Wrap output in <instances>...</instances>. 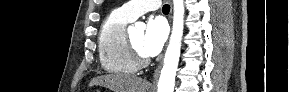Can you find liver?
Returning a JSON list of instances; mask_svg holds the SVG:
<instances>
[{
  "label": "liver",
  "instance_id": "liver-1",
  "mask_svg": "<svg viewBox=\"0 0 289 92\" xmlns=\"http://www.w3.org/2000/svg\"><path fill=\"white\" fill-rule=\"evenodd\" d=\"M104 86L113 92H147L150 83L134 76L109 74L94 77L89 86Z\"/></svg>",
  "mask_w": 289,
  "mask_h": 92
}]
</instances>
